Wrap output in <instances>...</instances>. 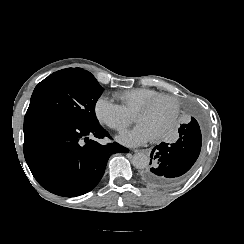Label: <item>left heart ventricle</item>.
I'll list each match as a JSON object with an SVG mask.
<instances>
[{
  "label": "left heart ventricle",
  "instance_id": "left-heart-ventricle-1",
  "mask_svg": "<svg viewBox=\"0 0 244 244\" xmlns=\"http://www.w3.org/2000/svg\"><path fill=\"white\" fill-rule=\"evenodd\" d=\"M171 112L170 104L165 101L163 103L158 102L146 113H138L136 118L141 125L148 127L157 136L161 137L167 130L166 120L171 116Z\"/></svg>",
  "mask_w": 244,
  "mask_h": 244
}]
</instances>
